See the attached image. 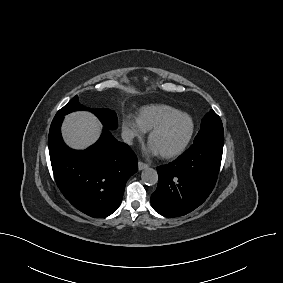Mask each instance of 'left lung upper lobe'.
I'll return each mask as SVG.
<instances>
[{"label": "left lung upper lobe", "mask_w": 283, "mask_h": 283, "mask_svg": "<svg viewBox=\"0 0 283 283\" xmlns=\"http://www.w3.org/2000/svg\"><path fill=\"white\" fill-rule=\"evenodd\" d=\"M200 140L213 141L218 144H224V131L220 117L210 110L201 122V130L194 139V142Z\"/></svg>", "instance_id": "left-lung-upper-lobe-1"}]
</instances>
